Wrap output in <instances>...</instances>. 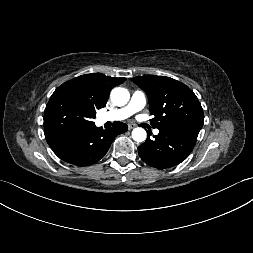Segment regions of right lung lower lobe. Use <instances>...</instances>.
<instances>
[{"instance_id": "right-lung-lower-lobe-1", "label": "right lung lower lobe", "mask_w": 253, "mask_h": 253, "mask_svg": "<svg viewBox=\"0 0 253 253\" xmlns=\"http://www.w3.org/2000/svg\"><path fill=\"white\" fill-rule=\"evenodd\" d=\"M127 129L128 126L122 122H114L113 127L106 130L94 124L52 133L45 138L53 152L63 161L76 166H89L101 160L115 136Z\"/></svg>"}]
</instances>
